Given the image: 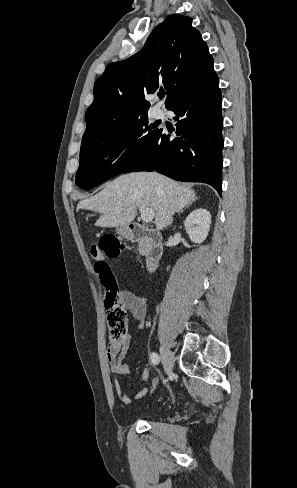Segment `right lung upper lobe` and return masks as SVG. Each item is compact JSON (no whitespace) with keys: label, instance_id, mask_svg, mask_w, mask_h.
Wrapping results in <instances>:
<instances>
[{"label":"right lung upper lobe","instance_id":"obj_1","mask_svg":"<svg viewBox=\"0 0 297 488\" xmlns=\"http://www.w3.org/2000/svg\"><path fill=\"white\" fill-rule=\"evenodd\" d=\"M216 76L213 58L192 19L170 15L148 37L143 49L107 66L95 82L83 138L106 134L147 116L146 94L167 90L169 109L184 95ZM82 138V139H83Z\"/></svg>","mask_w":297,"mask_h":488}]
</instances>
